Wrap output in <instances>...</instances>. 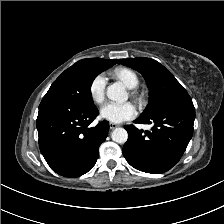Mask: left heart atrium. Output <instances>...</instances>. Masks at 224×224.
Segmentation results:
<instances>
[{
    "mask_svg": "<svg viewBox=\"0 0 224 224\" xmlns=\"http://www.w3.org/2000/svg\"><path fill=\"white\" fill-rule=\"evenodd\" d=\"M102 118L113 122L122 123L133 119L137 115V109L131 102L115 103L109 102L101 108Z\"/></svg>",
    "mask_w": 224,
    "mask_h": 224,
    "instance_id": "39dd6f15",
    "label": "left heart atrium"
}]
</instances>
